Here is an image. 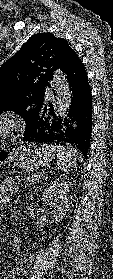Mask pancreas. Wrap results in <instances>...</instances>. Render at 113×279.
I'll use <instances>...</instances> for the list:
<instances>
[{
  "instance_id": "pancreas-1",
  "label": "pancreas",
  "mask_w": 113,
  "mask_h": 279,
  "mask_svg": "<svg viewBox=\"0 0 113 279\" xmlns=\"http://www.w3.org/2000/svg\"><path fill=\"white\" fill-rule=\"evenodd\" d=\"M45 176L43 174H31L27 177V181L32 184H36L38 181L43 180Z\"/></svg>"
}]
</instances>
